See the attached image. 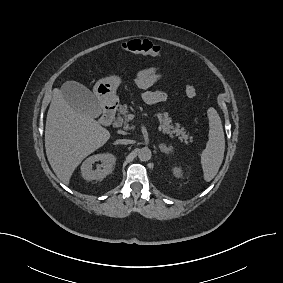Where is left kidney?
Masks as SVG:
<instances>
[{
	"instance_id": "left-kidney-1",
	"label": "left kidney",
	"mask_w": 283,
	"mask_h": 283,
	"mask_svg": "<svg viewBox=\"0 0 283 283\" xmlns=\"http://www.w3.org/2000/svg\"><path fill=\"white\" fill-rule=\"evenodd\" d=\"M172 171H173V174H174V176L175 177H182V175H183V172H182V169L180 168V167H173L172 168Z\"/></svg>"
}]
</instances>
